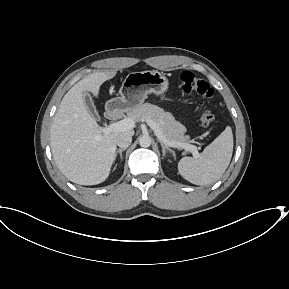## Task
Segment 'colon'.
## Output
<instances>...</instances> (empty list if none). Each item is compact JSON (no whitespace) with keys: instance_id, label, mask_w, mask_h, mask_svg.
I'll use <instances>...</instances> for the list:
<instances>
[{"instance_id":"5ec220e1","label":"colon","mask_w":289,"mask_h":289,"mask_svg":"<svg viewBox=\"0 0 289 289\" xmlns=\"http://www.w3.org/2000/svg\"><path fill=\"white\" fill-rule=\"evenodd\" d=\"M179 90L183 94L196 93L207 99L213 96V89L209 83L190 71H184L180 75ZM214 119V114L210 110H206L201 117V124L208 127L214 122Z\"/></svg>"}]
</instances>
